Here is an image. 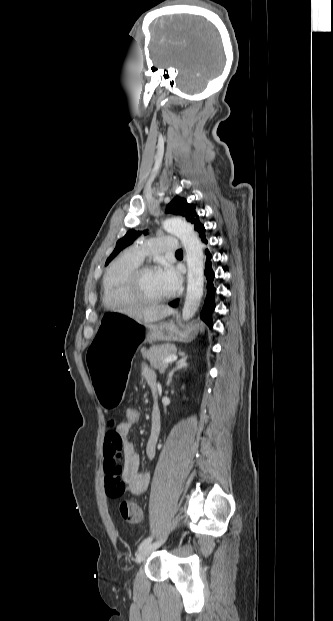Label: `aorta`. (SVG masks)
Masks as SVG:
<instances>
[{"instance_id":"762f6f07","label":"aorta","mask_w":333,"mask_h":621,"mask_svg":"<svg viewBox=\"0 0 333 621\" xmlns=\"http://www.w3.org/2000/svg\"><path fill=\"white\" fill-rule=\"evenodd\" d=\"M163 227L168 233L180 239L186 251L188 285L182 316L184 320H189L197 312L203 295V248L193 227L182 219H168L164 222Z\"/></svg>"}]
</instances>
